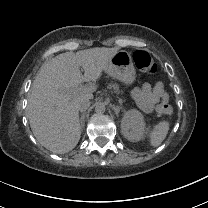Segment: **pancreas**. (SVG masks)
Returning a JSON list of instances; mask_svg holds the SVG:
<instances>
[{
    "label": "pancreas",
    "instance_id": "obj_1",
    "mask_svg": "<svg viewBox=\"0 0 208 208\" xmlns=\"http://www.w3.org/2000/svg\"><path fill=\"white\" fill-rule=\"evenodd\" d=\"M108 88H109V89L113 88V89L116 90L118 93H120L118 84H109V85H108Z\"/></svg>",
    "mask_w": 208,
    "mask_h": 208
}]
</instances>
